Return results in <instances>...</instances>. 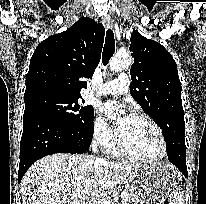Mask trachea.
<instances>
[{"label": "trachea", "instance_id": "obj_1", "mask_svg": "<svg viewBox=\"0 0 206 204\" xmlns=\"http://www.w3.org/2000/svg\"><path fill=\"white\" fill-rule=\"evenodd\" d=\"M114 51H115L114 33L111 29H108L106 33L105 45L102 53V63L104 66L108 64L110 58L114 54Z\"/></svg>", "mask_w": 206, "mask_h": 204}]
</instances>
